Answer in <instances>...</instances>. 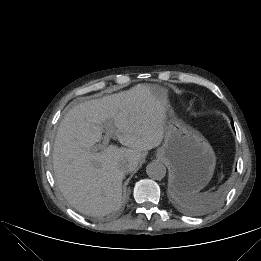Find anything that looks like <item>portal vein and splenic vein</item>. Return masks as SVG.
I'll return each instance as SVG.
<instances>
[{
    "label": "portal vein and splenic vein",
    "mask_w": 261,
    "mask_h": 261,
    "mask_svg": "<svg viewBox=\"0 0 261 261\" xmlns=\"http://www.w3.org/2000/svg\"><path fill=\"white\" fill-rule=\"evenodd\" d=\"M113 133H114V130H113L112 126L110 124H107L104 140H103L102 144H99L98 146L95 147V150L96 151L99 149L105 150L109 144V140L112 137Z\"/></svg>",
    "instance_id": "obj_1"
}]
</instances>
